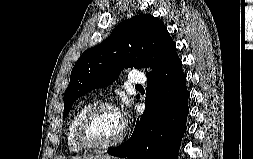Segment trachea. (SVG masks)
<instances>
[{"label": "trachea", "instance_id": "trachea-1", "mask_svg": "<svg viewBox=\"0 0 253 159\" xmlns=\"http://www.w3.org/2000/svg\"><path fill=\"white\" fill-rule=\"evenodd\" d=\"M136 88H142V86H137V85H136Z\"/></svg>", "mask_w": 253, "mask_h": 159}]
</instances>
